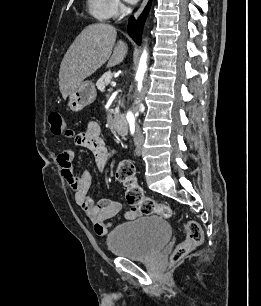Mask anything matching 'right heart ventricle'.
I'll return each instance as SVG.
<instances>
[{
	"mask_svg": "<svg viewBox=\"0 0 261 306\" xmlns=\"http://www.w3.org/2000/svg\"><path fill=\"white\" fill-rule=\"evenodd\" d=\"M87 4L90 13L97 19L104 21L110 17L108 0H87Z\"/></svg>",
	"mask_w": 261,
	"mask_h": 306,
	"instance_id": "e07e8e85",
	"label": "right heart ventricle"
}]
</instances>
